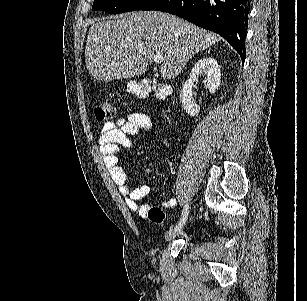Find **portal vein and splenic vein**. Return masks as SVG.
<instances>
[{"label":"portal vein and splenic vein","instance_id":"18ae733b","mask_svg":"<svg viewBox=\"0 0 307 301\" xmlns=\"http://www.w3.org/2000/svg\"><path fill=\"white\" fill-rule=\"evenodd\" d=\"M153 60L154 62H163V56L161 54H154Z\"/></svg>","mask_w":307,"mask_h":301}]
</instances>
